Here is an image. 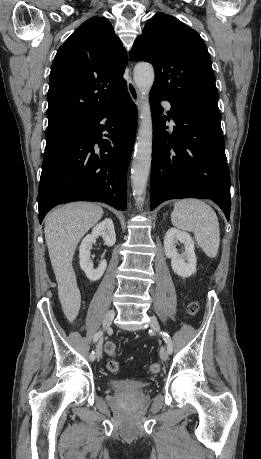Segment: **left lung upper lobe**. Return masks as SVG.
<instances>
[{"instance_id":"1","label":"left lung upper lobe","mask_w":261,"mask_h":459,"mask_svg":"<svg viewBox=\"0 0 261 459\" xmlns=\"http://www.w3.org/2000/svg\"><path fill=\"white\" fill-rule=\"evenodd\" d=\"M130 56L152 63L151 92L178 107L219 113L211 59L200 35L177 18L155 14L134 42Z\"/></svg>"}]
</instances>
